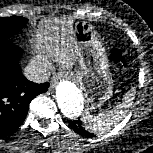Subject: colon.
<instances>
[{"label":"colon","mask_w":153,"mask_h":153,"mask_svg":"<svg viewBox=\"0 0 153 153\" xmlns=\"http://www.w3.org/2000/svg\"><path fill=\"white\" fill-rule=\"evenodd\" d=\"M111 61L116 69L124 71L127 68V60L122 51L118 48L111 50Z\"/></svg>","instance_id":"colon-1"}]
</instances>
